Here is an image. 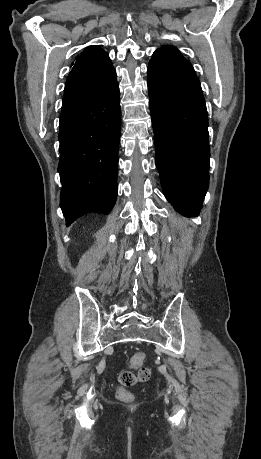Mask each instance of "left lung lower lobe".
<instances>
[{
    "instance_id": "obj_1",
    "label": "left lung lower lobe",
    "mask_w": 261,
    "mask_h": 459,
    "mask_svg": "<svg viewBox=\"0 0 261 459\" xmlns=\"http://www.w3.org/2000/svg\"><path fill=\"white\" fill-rule=\"evenodd\" d=\"M156 165L177 212L198 216L209 185L208 118L195 74L148 65Z\"/></svg>"
}]
</instances>
